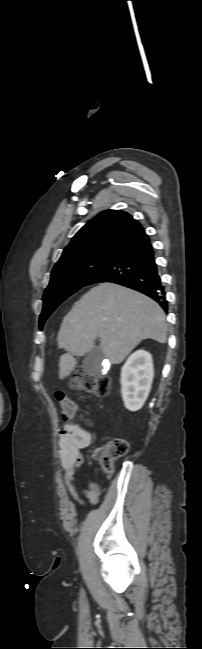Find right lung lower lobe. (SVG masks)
<instances>
[{
    "mask_svg": "<svg viewBox=\"0 0 202 649\" xmlns=\"http://www.w3.org/2000/svg\"><path fill=\"white\" fill-rule=\"evenodd\" d=\"M112 282L151 297L167 311L164 285L160 280L149 237L115 254L84 286Z\"/></svg>",
    "mask_w": 202,
    "mask_h": 649,
    "instance_id": "1",
    "label": "right lung lower lobe"
}]
</instances>
